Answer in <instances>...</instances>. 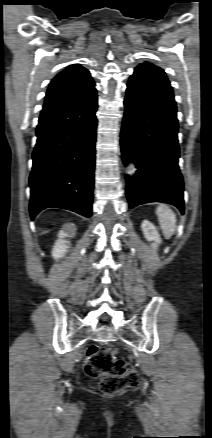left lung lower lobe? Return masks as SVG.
<instances>
[{
  "label": "left lung lower lobe",
  "mask_w": 212,
  "mask_h": 438,
  "mask_svg": "<svg viewBox=\"0 0 212 438\" xmlns=\"http://www.w3.org/2000/svg\"><path fill=\"white\" fill-rule=\"evenodd\" d=\"M121 131L124 164L131 157L138 170L126 188L130 208L149 202L184 211L179 170L178 120L173 93L130 79ZM128 178V177H127Z\"/></svg>",
  "instance_id": "obj_1"
}]
</instances>
